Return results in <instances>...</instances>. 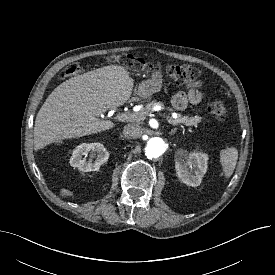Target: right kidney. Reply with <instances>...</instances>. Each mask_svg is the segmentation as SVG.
<instances>
[{
    "instance_id": "obj_1",
    "label": "right kidney",
    "mask_w": 275,
    "mask_h": 275,
    "mask_svg": "<svg viewBox=\"0 0 275 275\" xmlns=\"http://www.w3.org/2000/svg\"><path fill=\"white\" fill-rule=\"evenodd\" d=\"M90 153V158L86 161L87 155ZM84 156V158H83ZM109 158V153L101 143H83L76 147L70 158V165L77 167L80 171L91 172L99 170ZM95 159V160H94Z\"/></svg>"
}]
</instances>
